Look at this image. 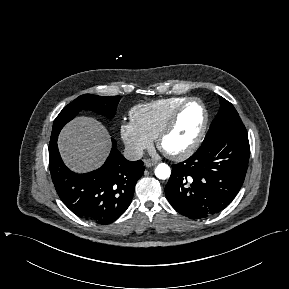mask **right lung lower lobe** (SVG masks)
I'll return each instance as SVG.
<instances>
[{
	"instance_id": "obj_1",
	"label": "right lung lower lobe",
	"mask_w": 289,
	"mask_h": 289,
	"mask_svg": "<svg viewBox=\"0 0 289 289\" xmlns=\"http://www.w3.org/2000/svg\"><path fill=\"white\" fill-rule=\"evenodd\" d=\"M104 165L86 174L70 171L63 163L57 138L50 139L49 168L55 189L62 202L79 217L99 224L117 220L128 208L134 186L143 175L141 160L128 161L115 148Z\"/></svg>"
}]
</instances>
